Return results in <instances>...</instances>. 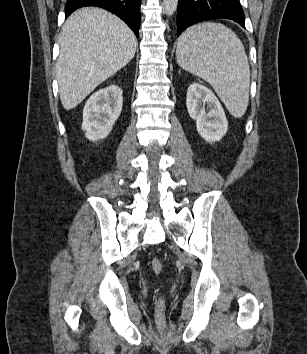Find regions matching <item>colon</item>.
Returning a JSON list of instances; mask_svg holds the SVG:
<instances>
[{"label": "colon", "instance_id": "colon-1", "mask_svg": "<svg viewBox=\"0 0 307 354\" xmlns=\"http://www.w3.org/2000/svg\"><path fill=\"white\" fill-rule=\"evenodd\" d=\"M151 267L154 273L159 274L162 271L163 263L160 259L154 258L151 261ZM157 314L158 318L162 320L164 315V303L163 300L160 298L157 300Z\"/></svg>", "mask_w": 307, "mask_h": 354}]
</instances>
